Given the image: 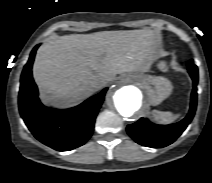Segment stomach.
<instances>
[{"label": "stomach", "instance_id": "stomach-1", "mask_svg": "<svg viewBox=\"0 0 212 183\" xmlns=\"http://www.w3.org/2000/svg\"><path fill=\"white\" fill-rule=\"evenodd\" d=\"M157 66L161 71H167V65L164 61L159 62ZM129 76L142 86L151 105L160 104L172 92V84L167 78L149 76L140 72L132 73Z\"/></svg>", "mask_w": 212, "mask_h": 183}]
</instances>
